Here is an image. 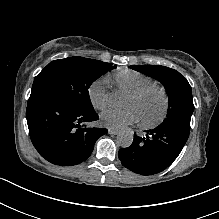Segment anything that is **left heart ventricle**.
<instances>
[{
  "mask_svg": "<svg viewBox=\"0 0 219 219\" xmlns=\"http://www.w3.org/2000/svg\"><path fill=\"white\" fill-rule=\"evenodd\" d=\"M126 106L135 107L140 118L146 121H155L163 110V98L159 92L152 91L138 98L128 97Z\"/></svg>",
  "mask_w": 219,
  "mask_h": 219,
  "instance_id": "b2bd125f",
  "label": "left heart ventricle"
}]
</instances>
